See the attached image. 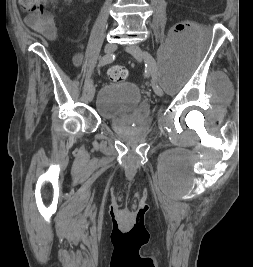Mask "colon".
Here are the masks:
<instances>
[{
  "label": "colon",
  "mask_w": 253,
  "mask_h": 267,
  "mask_svg": "<svg viewBox=\"0 0 253 267\" xmlns=\"http://www.w3.org/2000/svg\"><path fill=\"white\" fill-rule=\"evenodd\" d=\"M58 0H19L22 10L42 14L48 5L56 6ZM108 76L114 82H123L128 77V71L122 66H113L109 69Z\"/></svg>",
  "instance_id": "5ec220e1"
}]
</instances>
